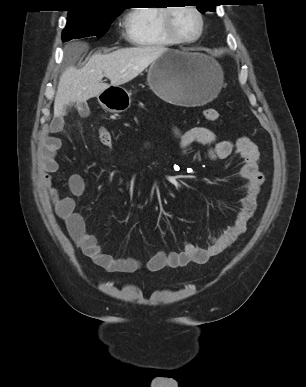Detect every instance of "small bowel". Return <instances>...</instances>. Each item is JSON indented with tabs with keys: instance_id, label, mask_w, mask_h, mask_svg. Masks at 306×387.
<instances>
[{
	"instance_id": "obj_1",
	"label": "small bowel",
	"mask_w": 306,
	"mask_h": 387,
	"mask_svg": "<svg viewBox=\"0 0 306 387\" xmlns=\"http://www.w3.org/2000/svg\"><path fill=\"white\" fill-rule=\"evenodd\" d=\"M64 126L63 117L52 121L40 151L42 182L48 191L55 213L63 220L75 244L94 264L108 272L134 273L142 267V263L135 258H115L105 253L99 239L87 232L83 217L76 212L74 197L84 193L86 189L84 178L80 174L70 175L67 181L69 194L54 186V177L59 173L57 152L61 147V140L56 134L61 132ZM176 135L180 150L184 154L195 143L209 147L205 158L210 161L226 159L236 152L242 163L240 176L244 181L245 193L233 225L220 235L211 238L207 247L201 248L188 241L178 252L160 250L146 262L145 267L151 272L183 267L190 263L204 264L232 245L246 231L247 224L256 210L257 196L264 182L263 174L259 170L260 152L257 145L248 137H240L235 142L220 141L212 130L204 126L192 127L185 131L176 130ZM193 158L196 161L201 159L198 155H194Z\"/></svg>"
}]
</instances>
